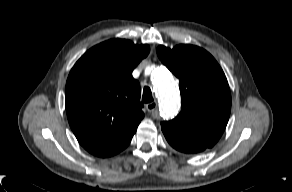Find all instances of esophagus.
<instances>
[{
    "label": "esophagus",
    "mask_w": 292,
    "mask_h": 192,
    "mask_svg": "<svg viewBox=\"0 0 292 192\" xmlns=\"http://www.w3.org/2000/svg\"><path fill=\"white\" fill-rule=\"evenodd\" d=\"M156 108H157V102L156 101L146 104V109H147L148 112H153Z\"/></svg>",
    "instance_id": "esophagus-1"
}]
</instances>
